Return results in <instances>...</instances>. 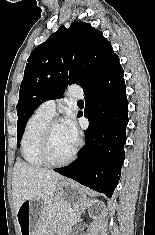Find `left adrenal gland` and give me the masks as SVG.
I'll return each mask as SVG.
<instances>
[{"label": "left adrenal gland", "mask_w": 155, "mask_h": 235, "mask_svg": "<svg viewBox=\"0 0 155 235\" xmlns=\"http://www.w3.org/2000/svg\"><path fill=\"white\" fill-rule=\"evenodd\" d=\"M78 214L80 215V214H81V211H80V212H78Z\"/></svg>", "instance_id": "obj_1"}]
</instances>
